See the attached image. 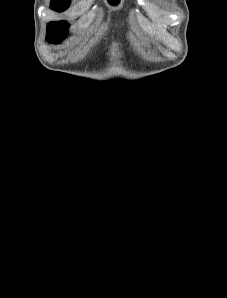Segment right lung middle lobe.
<instances>
[{"label":"right lung middle lobe","instance_id":"1","mask_svg":"<svg viewBox=\"0 0 227 298\" xmlns=\"http://www.w3.org/2000/svg\"><path fill=\"white\" fill-rule=\"evenodd\" d=\"M70 5V0H52L51 8L55 11L61 12L66 10ZM68 26L65 21L50 22L47 26L46 39L49 42L58 44L67 36Z\"/></svg>","mask_w":227,"mask_h":298}]
</instances>
